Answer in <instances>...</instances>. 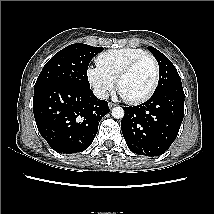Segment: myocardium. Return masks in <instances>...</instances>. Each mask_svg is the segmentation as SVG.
<instances>
[{
	"label": "myocardium",
	"mask_w": 214,
	"mask_h": 214,
	"mask_svg": "<svg viewBox=\"0 0 214 214\" xmlns=\"http://www.w3.org/2000/svg\"><path fill=\"white\" fill-rule=\"evenodd\" d=\"M144 60H149L153 67H154V81L152 86L150 87V89L141 97L135 98V99H128L125 98L127 102L131 103V104H141L147 100H149L152 95L155 93L158 85H159V81H160V69H159V65L158 62L156 61V59L150 55V54H144L141 55L137 58H135L134 60H132L129 64H127L120 72V74L118 75L117 78V88L120 92V84L122 82V80L129 75L138 64H140L142 61Z\"/></svg>",
	"instance_id": "f54148a6"
}]
</instances>
